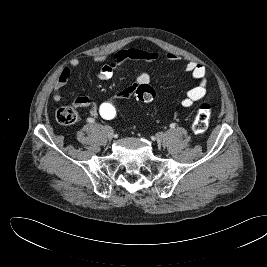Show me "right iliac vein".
<instances>
[{
    "label": "right iliac vein",
    "mask_w": 267,
    "mask_h": 267,
    "mask_svg": "<svg viewBox=\"0 0 267 267\" xmlns=\"http://www.w3.org/2000/svg\"><path fill=\"white\" fill-rule=\"evenodd\" d=\"M104 131L106 132V134H107V136H108V138L109 139H112L113 138V136H114V131H113V129L110 127V126H105L104 127Z\"/></svg>",
    "instance_id": "obj_1"
}]
</instances>
